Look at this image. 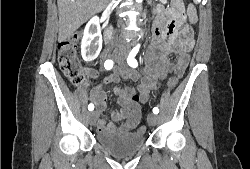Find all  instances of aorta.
<instances>
[{
	"instance_id": "aorta-1",
	"label": "aorta",
	"mask_w": 250,
	"mask_h": 169,
	"mask_svg": "<svg viewBox=\"0 0 250 169\" xmlns=\"http://www.w3.org/2000/svg\"><path fill=\"white\" fill-rule=\"evenodd\" d=\"M136 2H142V0H136Z\"/></svg>"
}]
</instances>
